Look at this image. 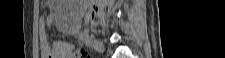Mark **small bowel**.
<instances>
[{
  "instance_id": "1",
  "label": "small bowel",
  "mask_w": 225,
  "mask_h": 58,
  "mask_svg": "<svg viewBox=\"0 0 225 58\" xmlns=\"http://www.w3.org/2000/svg\"><path fill=\"white\" fill-rule=\"evenodd\" d=\"M56 4L55 1H51L50 6L54 9ZM54 21L55 17L50 15L46 18V25L52 26ZM70 32L73 33L74 29H70ZM43 52L44 58H76L74 45L64 41L55 42L51 46L45 45Z\"/></svg>"
}]
</instances>
